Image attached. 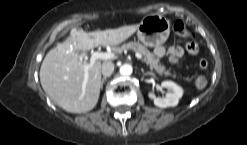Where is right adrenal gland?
Listing matches in <instances>:
<instances>
[{"mask_svg": "<svg viewBox=\"0 0 247 145\" xmlns=\"http://www.w3.org/2000/svg\"><path fill=\"white\" fill-rule=\"evenodd\" d=\"M106 79H107L106 77H103V78H102V81H101V88H103V83L105 82Z\"/></svg>", "mask_w": 247, "mask_h": 145, "instance_id": "1", "label": "right adrenal gland"}]
</instances>
